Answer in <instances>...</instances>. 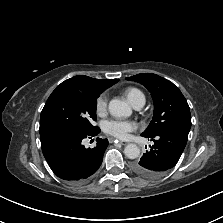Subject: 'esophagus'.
<instances>
[{"label":"esophagus","mask_w":223,"mask_h":223,"mask_svg":"<svg viewBox=\"0 0 223 223\" xmlns=\"http://www.w3.org/2000/svg\"><path fill=\"white\" fill-rule=\"evenodd\" d=\"M119 142L121 145H126L127 144V142H124V141H119V140H115L114 138H110L109 139V142L110 143H113V142Z\"/></svg>","instance_id":"esophagus-1"}]
</instances>
